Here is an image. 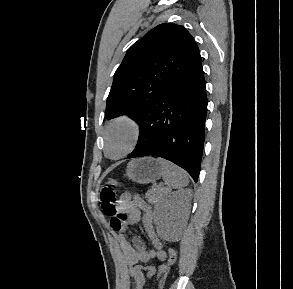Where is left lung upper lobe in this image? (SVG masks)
Listing matches in <instances>:
<instances>
[{"instance_id": "5c2ea615", "label": "left lung upper lobe", "mask_w": 293, "mask_h": 289, "mask_svg": "<svg viewBox=\"0 0 293 289\" xmlns=\"http://www.w3.org/2000/svg\"><path fill=\"white\" fill-rule=\"evenodd\" d=\"M200 57L194 38L181 25L163 23L127 51L114 74L106 117L131 115L136 122Z\"/></svg>"}]
</instances>
